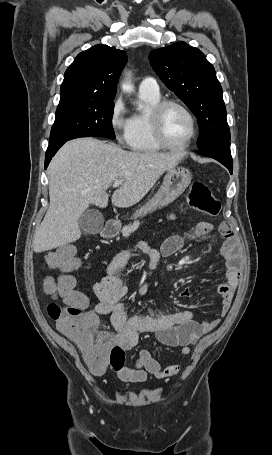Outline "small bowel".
<instances>
[{
  "label": "small bowel",
  "instance_id": "small-bowel-1",
  "mask_svg": "<svg viewBox=\"0 0 272 455\" xmlns=\"http://www.w3.org/2000/svg\"><path fill=\"white\" fill-rule=\"evenodd\" d=\"M209 236L215 243L218 236L225 241L220 247L221 255L226 264V281L218 286L221 296L219 317L209 321L198 322L189 310L163 313L149 308L147 313L129 314L122 299L127 293V287L122 278V270L137 254H147L150 258L148 274L152 275L161 257H169L178 252L187 241ZM241 277L240 257L233 231L229 224L222 223L218 230L209 222H199L189 233L171 235L156 250L148 242L140 243L134 250H125L113 257L105 270V275L93 287L97 299L94 308L89 311L96 320L98 315H109L114 332H103L101 335L119 344L123 349L130 350L139 342L141 333H154L160 343L169 347L180 348L182 355L190 353V346L204 334L214 329L224 317L231 305L235 290ZM149 283L143 282L138 288L140 295L148 291ZM180 295L190 297L192 292L184 288ZM179 365L171 364L163 367L152 354L143 349L140 351L133 367L123 366L116 370L118 377L124 382H144L149 376L168 378L176 375Z\"/></svg>",
  "mask_w": 272,
  "mask_h": 455
}]
</instances>
